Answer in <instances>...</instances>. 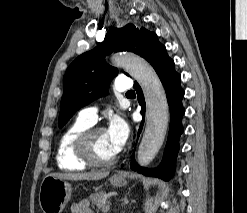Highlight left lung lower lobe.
Returning a JSON list of instances; mask_svg holds the SVG:
<instances>
[{
  "mask_svg": "<svg viewBox=\"0 0 247 213\" xmlns=\"http://www.w3.org/2000/svg\"><path fill=\"white\" fill-rule=\"evenodd\" d=\"M166 92L168 104L170 108V129L168 140L164 150V156L161 165L156 169H147L140 167L132 156L131 169L138 171L144 175L156 176L164 180H168L173 176L175 171V162L179 151V137L183 132L181 119L184 115V108L181 101L184 96V91L180 86L181 76L174 70V61L169 57L157 63L154 66ZM135 89L138 94V101L142 105L141 114L145 116V101L142 90L138 84H135ZM143 122L140 125L138 136L142 130Z\"/></svg>",
  "mask_w": 247,
  "mask_h": 213,
  "instance_id": "left-lung-lower-lobe-1",
  "label": "left lung lower lobe"
}]
</instances>
